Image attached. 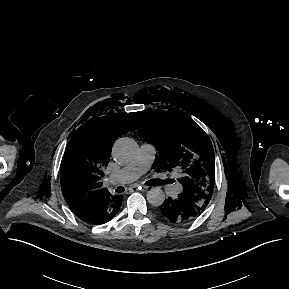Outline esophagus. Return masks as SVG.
<instances>
[{
  "label": "esophagus",
  "instance_id": "esophagus-1",
  "mask_svg": "<svg viewBox=\"0 0 289 289\" xmlns=\"http://www.w3.org/2000/svg\"><path fill=\"white\" fill-rule=\"evenodd\" d=\"M132 188L133 189H140L141 188L142 190H148L150 188V186H147V185H140V186L134 185Z\"/></svg>",
  "mask_w": 289,
  "mask_h": 289
}]
</instances>
